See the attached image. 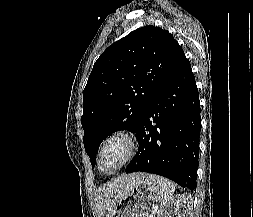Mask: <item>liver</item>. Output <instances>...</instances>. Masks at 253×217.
<instances>
[{"instance_id": "6515ba94", "label": "liver", "mask_w": 253, "mask_h": 217, "mask_svg": "<svg viewBox=\"0 0 253 217\" xmlns=\"http://www.w3.org/2000/svg\"><path fill=\"white\" fill-rule=\"evenodd\" d=\"M143 173L123 174L95 192L96 217H113L119 199L127 194Z\"/></svg>"}]
</instances>
